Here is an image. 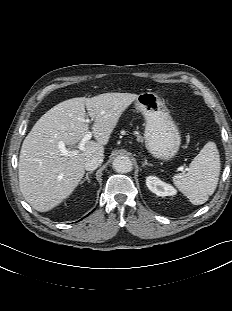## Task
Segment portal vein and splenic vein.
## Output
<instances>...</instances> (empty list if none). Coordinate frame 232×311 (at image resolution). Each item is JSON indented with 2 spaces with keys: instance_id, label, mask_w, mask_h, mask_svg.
<instances>
[{
  "instance_id": "obj_1",
  "label": "portal vein and splenic vein",
  "mask_w": 232,
  "mask_h": 311,
  "mask_svg": "<svg viewBox=\"0 0 232 311\" xmlns=\"http://www.w3.org/2000/svg\"><path fill=\"white\" fill-rule=\"evenodd\" d=\"M86 122H89V120H86ZM92 132L88 131L85 136L83 137V139L80 141L79 145H78V149L79 150H84L85 144L92 138ZM59 149L60 151L63 153V155L69 156L71 153H76V151H68L65 147V144L60 141L59 144Z\"/></svg>"
}]
</instances>
